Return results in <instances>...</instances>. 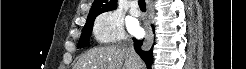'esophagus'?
<instances>
[{
    "instance_id": "esophagus-1",
    "label": "esophagus",
    "mask_w": 246,
    "mask_h": 69,
    "mask_svg": "<svg viewBox=\"0 0 246 69\" xmlns=\"http://www.w3.org/2000/svg\"><path fill=\"white\" fill-rule=\"evenodd\" d=\"M153 41V36H152V32L149 29H146V35H145V41H144V45H143V49L147 50L151 47Z\"/></svg>"
}]
</instances>
